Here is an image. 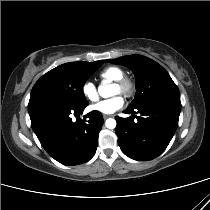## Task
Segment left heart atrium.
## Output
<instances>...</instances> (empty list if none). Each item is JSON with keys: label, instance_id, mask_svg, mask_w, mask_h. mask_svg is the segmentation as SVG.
<instances>
[{"label": "left heart atrium", "instance_id": "obj_1", "mask_svg": "<svg viewBox=\"0 0 210 210\" xmlns=\"http://www.w3.org/2000/svg\"><path fill=\"white\" fill-rule=\"evenodd\" d=\"M123 105H124V99L120 95H117L114 96L113 98L102 100L90 106V110L102 114H112L121 109Z\"/></svg>", "mask_w": 210, "mask_h": 210}]
</instances>
